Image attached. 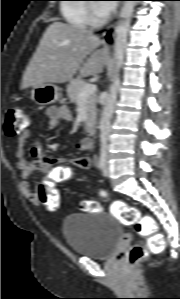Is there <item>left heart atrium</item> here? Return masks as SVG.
<instances>
[{"instance_id":"left-heart-atrium-1","label":"left heart atrium","mask_w":180,"mask_h":299,"mask_svg":"<svg viewBox=\"0 0 180 299\" xmlns=\"http://www.w3.org/2000/svg\"><path fill=\"white\" fill-rule=\"evenodd\" d=\"M107 2H113V1H107ZM116 4L114 3H102L98 5L99 11L103 15H109L115 10Z\"/></svg>"}]
</instances>
